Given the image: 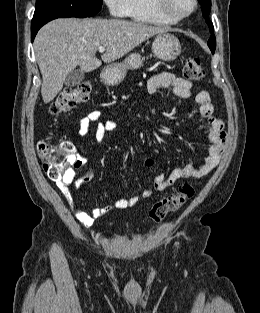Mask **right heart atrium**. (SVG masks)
I'll return each mask as SVG.
<instances>
[{
    "label": "right heart atrium",
    "mask_w": 260,
    "mask_h": 313,
    "mask_svg": "<svg viewBox=\"0 0 260 313\" xmlns=\"http://www.w3.org/2000/svg\"><path fill=\"white\" fill-rule=\"evenodd\" d=\"M109 13L115 17H124L127 12V0H103Z\"/></svg>",
    "instance_id": "obj_1"
}]
</instances>
